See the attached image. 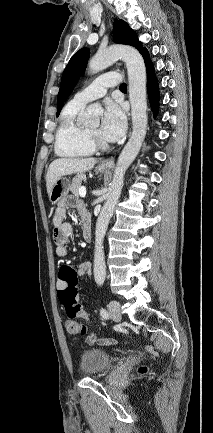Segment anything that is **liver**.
<instances>
[{"label": "liver", "mask_w": 213, "mask_h": 433, "mask_svg": "<svg viewBox=\"0 0 213 433\" xmlns=\"http://www.w3.org/2000/svg\"><path fill=\"white\" fill-rule=\"evenodd\" d=\"M95 158H59L54 160L48 168L46 175V187L49 193L55 182L65 175L89 171L94 167Z\"/></svg>", "instance_id": "1"}]
</instances>
